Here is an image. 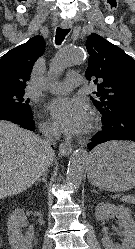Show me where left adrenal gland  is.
I'll return each mask as SVG.
<instances>
[{"mask_svg":"<svg viewBox=\"0 0 135 249\" xmlns=\"http://www.w3.org/2000/svg\"><path fill=\"white\" fill-rule=\"evenodd\" d=\"M92 192H95V193H97V191H96L95 189H92Z\"/></svg>","mask_w":135,"mask_h":249,"instance_id":"left-adrenal-gland-1","label":"left adrenal gland"}]
</instances>
